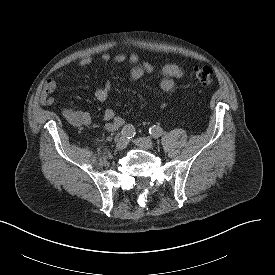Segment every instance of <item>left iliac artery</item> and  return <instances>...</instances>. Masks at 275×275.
<instances>
[{
  "label": "left iliac artery",
  "instance_id": "1",
  "mask_svg": "<svg viewBox=\"0 0 275 275\" xmlns=\"http://www.w3.org/2000/svg\"><path fill=\"white\" fill-rule=\"evenodd\" d=\"M149 133L153 138H159L160 136H162L163 130L161 127H159L157 125H153L149 129Z\"/></svg>",
  "mask_w": 275,
  "mask_h": 275
}]
</instances>
